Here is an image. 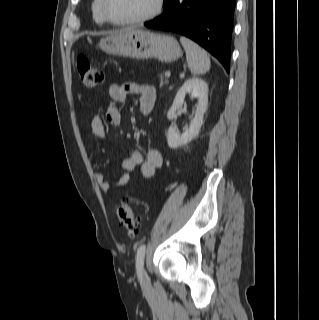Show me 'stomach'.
<instances>
[{
    "label": "stomach",
    "instance_id": "stomach-1",
    "mask_svg": "<svg viewBox=\"0 0 319 320\" xmlns=\"http://www.w3.org/2000/svg\"><path fill=\"white\" fill-rule=\"evenodd\" d=\"M99 48L110 55L156 58L164 63L174 62L181 56V48L174 37L143 29L116 32L101 39Z\"/></svg>",
    "mask_w": 319,
    "mask_h": 320
}]
</instances>
